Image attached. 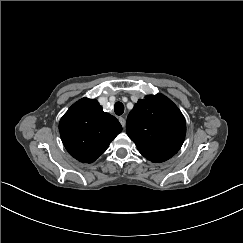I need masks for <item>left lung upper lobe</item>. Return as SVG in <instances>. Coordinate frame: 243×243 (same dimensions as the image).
<instances>
[{"instance_id":"1","label":"left lung upper lobe","mask_w":243,"mask_h":243,"mask_svg":"<svg viewBox=\"0 0 243 243\" xmlns=\"http://www.w3.org/2000/svg\"><path fill=\"white\" fill-rule=\"evenodd\" d=\"M126 131L145 158L163 162L181 148L186 123L178 107L166 96L148 95L129 113Z\"/></svg>"}]
</instances>
